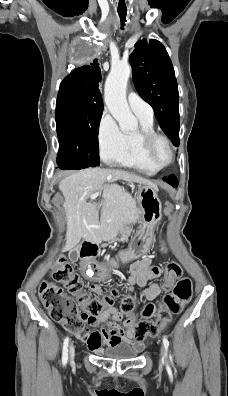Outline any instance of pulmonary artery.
Returning a JSON list of instances; mask_svg holds the SVG:
<instances>
[{
    "mask_svg": "<svg viewBox=\"0 0 228 396\" xmlns=\"http://www.w3.org/2000/svg\"><path fill=\"white\" fill-rule=\"evenodd\" d=\"M127 100L131 110L136 115L153 117V109L151 105L148 104L144 99H142V97H140L136 92H129Z\"/></svg>",
    "mask_w": 228,
    "mask_h": 396,
    "instance_id": "e3ab8cb5",
    "label": "pulmonary artery"
}]
</instances>
